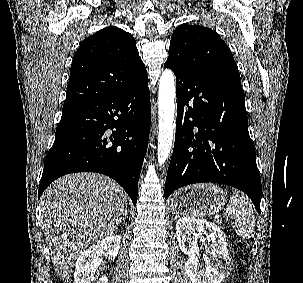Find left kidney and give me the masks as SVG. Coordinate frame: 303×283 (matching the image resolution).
<instances>
[{"mask_svg":"<svg viewBox=\"0 0 303 283\" xmlns=\"http://www.w3.org/2000/svg\"><path fill=\"white\" fill-rule=\"evenodd\" d=\"M179 247L188 255L185 262L186 273L192 283H222L229 275L231 261L227 252L226 236L215 224L190 217L180 218L176 224ZM204 234L208 243L206 251L210 258L205 264L199 263L197 240Z\"/></svg>","mask_w":303,"mask_h":283,"instance_id":"1","label":"left kidney"}]
</instances>
